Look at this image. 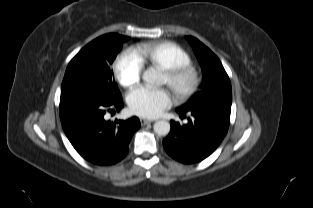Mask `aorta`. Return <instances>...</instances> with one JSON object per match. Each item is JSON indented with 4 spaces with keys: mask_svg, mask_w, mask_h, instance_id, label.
<instances>
[{
    "mask_svg": "<svg viewBox=\"0 0 313 208\" xmlns=\"http://www.w3.org/2000/svg\"><path fill=\"white\" fill-rule=\"evenodd\" d=\"M142 79L148 84H157L159 83L160 75L154 69H147L144 71ZM153 128L158 135L165 136L170 132V123L165 120H159L154 123Z\"/></svg>",
    "mask_w": 313,
    "mask_h": 208,
    "instance_id": "1",
    "label": "aorta"
}]
</instances>
